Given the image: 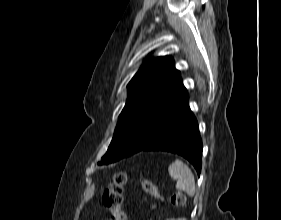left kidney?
I'll list each match as a JSON object with an SVG mask.
<instances>
[{"label": "left kidney", "mask_w": 281, "mask_h": 220, "mask_svg": "<svg viewBox=\"0 0 281 220\" xmlns=\"http://www.w3.org/2000/svg\"><path fill=\"white\" fill-rule=\"evenodd\" d=\"M168 220H186L185 218H179V219H168Z\"/></svg>", "instance_id": "5707ae66"}]
</instances>
